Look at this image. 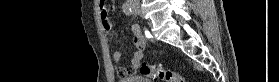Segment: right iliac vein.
I'll list each match as a JSON object with an SVG mask.
<instances>
[{"label": "right iliac vein", "instance_id": "63e3f726", "mask_svg": "<svg viewBox=\"0 0 279 82\" xmlns=\"http://www.w3.org/2000/svg\"><path fill=\"white\" fill-rule=\"evenodd\" d=\"M130 6L135 10V12L137 13H141V9L139 6H137L136 4H134V2H132V0L129 1Z\"/></svg>", "mask_w": 279, "mask_h": 82}]
</instances>
